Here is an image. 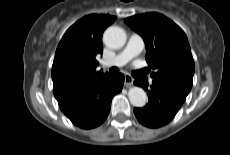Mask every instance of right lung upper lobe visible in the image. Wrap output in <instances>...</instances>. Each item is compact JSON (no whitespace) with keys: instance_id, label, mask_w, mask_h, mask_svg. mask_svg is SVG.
I'll use <instances>...</instances> for the list:
<instances>
[{"instance_id":"1","label":"right lung upper lobe","mask_w":230,"mask_h":155,"mask_svg":"<svg viewBox=\"0 0 230 155\" xmlns=\"http://www.w3.org/2000/svg\"><path fill=\"white\" fill-rule=\"evenodd\" d=\"M115 16L92 14L73 24L62 37L52 66L57 100L75 95L109 75L96 71V57L102 54V34Z\"/></svg>"}]
</instances>
